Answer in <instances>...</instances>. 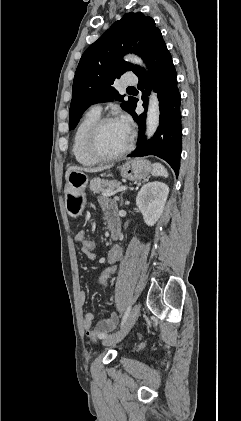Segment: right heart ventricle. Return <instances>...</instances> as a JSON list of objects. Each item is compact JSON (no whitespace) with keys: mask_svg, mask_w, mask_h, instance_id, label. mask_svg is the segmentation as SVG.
Returning a JSON list of instances; mask_svg holds the SVG:
<instances>
[{"mask_svg":"<svg viewBox=\"0 0 241 421\" xmlns=\"http://www.w3.org/2000/svg\"><path fill=\"white\" fill-rule=\"evenodd\" d=\"M99 117L100 113L92 109L88 110L74 131L71 150L76 162L81 165L91 166L98 163V160L87 152L85 142L89 129Z\"/></svg>","mask_w":241,"mask_h":421,"instance_id":"e07e8e85","label":"right heart ventricle"}]
</instances>
